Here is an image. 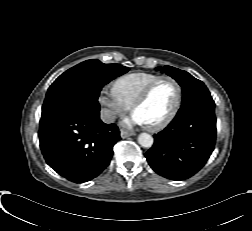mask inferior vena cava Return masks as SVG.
I'll return each mask as SVG.
<instances>
[{
	"instance_id": "1",
	"label": "inferior vena cava",
	"mask_w": 252,
	"mask_h": 231,
	"mask_svg": "<svg viewBox=\"0 0 252 231\" xmlns=\"http://www.w3.org/2000/svg\"><path fill=\"white\" fill-rule=\"evenodd\" d=\"M100 117L104 123H112L116 118L114 112L109 109H102Z\"/></svg>"
}]
</instances>
